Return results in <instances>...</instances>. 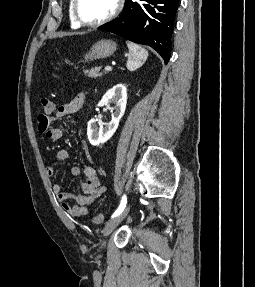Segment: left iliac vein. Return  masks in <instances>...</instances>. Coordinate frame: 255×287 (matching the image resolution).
<instances>
[{"instance_id":"1","label":"left iliac vein","mask_w":255,"mask_h":287,"mask_svg":"<svg viewBox=\"0 0 255 287\" xmlns=\"http://www.w3.org/2000/svg\"><path fill=\"white\" fill-rule=\"evenodd\" d=\"M130 209V205H128L119 215H117L115 218L111 219L104 227L103 229V235L104 237H107L120 223L121 221L126 217ZM105 245V241L102 243V246Z\"/></svg>"}]
</instances>
